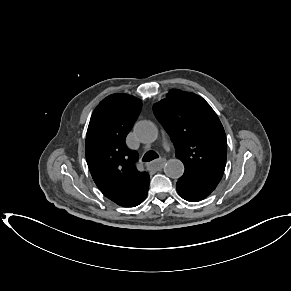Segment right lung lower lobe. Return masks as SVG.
Instances as JSON below:
<instances>
[{
  "instance_id": "obj_1",
  "label": "right lung lower lobe",
  "mask_w": 291,
  "mask_h": 291,
  "mask_svg": "<svg viewBox=\"0 0 291 291\" xmlns=\"http://www.w3.org/2000/svg\"><path fill=\"white\" fill-rule=\"evenodd\" d=\"M145 198H146V197H145ZM145 198H144V199H145ZM144 199H143L142 201H140V202H139L137 205H139L141 202H143V201H144ZM137 205H134V206H137ZM134 206H132V207H134Z\"/></svg>"
}]
</instances>
